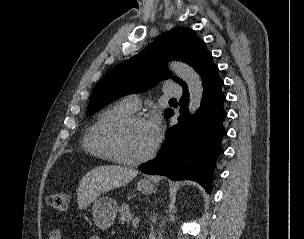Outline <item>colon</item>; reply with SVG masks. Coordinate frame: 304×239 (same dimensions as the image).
Segmentation results:
<instances>
[{
  "instance_id": "obj_1",
  "label": "colon",
  "mask_w": 304,
  "mask_h": 239,
  "mask_svg": "<svg viewBox=\"0 0 304 239\" xmlns=\"http://www.w3.org/2000/svg\"><path fill=\"white\" fill-rule=\"evenodd\" d=\"M48 204L58 212H64L68 209L70 196L66 192H57L48 196Z\"/></svg>"
}]
</instances>
